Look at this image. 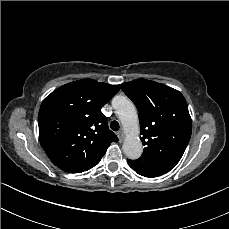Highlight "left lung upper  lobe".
Returning <instances> with one entry per match:
<instances>
[{
  "mask_svg": "<svg viewBox=\"0 0 229 229\" xmlns=\"http://www.w3.org/2000/svg\"><path fill=\"white\" fill-rule=\"evenodd\" d=\"M139 111L142 156L131 162L151 177L163 175L180 161L192 123L184 96L176 89L136 79L119 85Z\"/></svg>",
  "mask_w": 229,
  "mask_h": 229,
  "instance_id": "1",
  "label": "left lung upper lobe"
}]
</instances>
